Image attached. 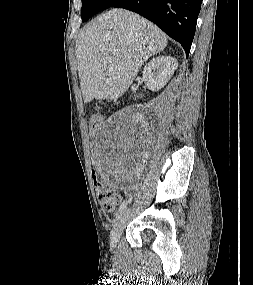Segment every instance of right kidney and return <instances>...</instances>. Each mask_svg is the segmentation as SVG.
Segmentation results:
<instances>
[{
    "instance_id": "obj_1",
    "label": "right kidney",
    "mask_w": 253,
    "mask_h": 285,
    "mask_svg": "<svg viewBox=\"0 0 253 285\" xmlns=\"http://www.w3.org/2000/svg\"><path fill=\"white\" fill-rule=\"evenodd\" d=\"M177 67V60L171 56L162 55L149 61L143 69V78L148 89L154 92L163 88Z\"/></svg>"
}]
</instances>
